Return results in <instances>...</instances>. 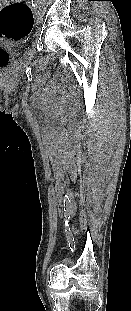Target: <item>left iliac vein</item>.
<instances>
[{"instance_id":"1","label":"left iliac vein","mask_w":131,"mask_h":311,"mask_svg":"<svg viewBox=\"0 0 131 311\" xmlns=\"http://www.w3.org/2000/svg\"><path fill=\"white\" fill-rule=\"evenodd\" d=\"M38 18L41 19V14L40 13L38 14Z\"/></svg>"}]
</instances>
